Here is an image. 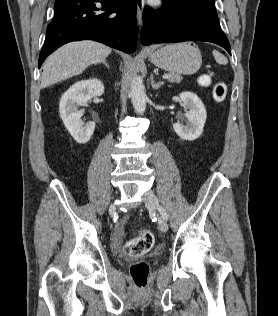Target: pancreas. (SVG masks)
I'll return each mask as SVG.
<instances>
[{"mask_svg": "<svg viewBox=\"0 0 278 316\" xmlns=\"http://www.w3.org/2000/svg\"><path fill=\"white\" fill-rule=\"evenodd\" d=\"M168 81L171 83H180L182 81V76L180 74L173 73Z\"/></svg>", "mask_w": 278, "mask_h": 316, "instance_id": "1", "label": "pancreas"}]
</instances>
